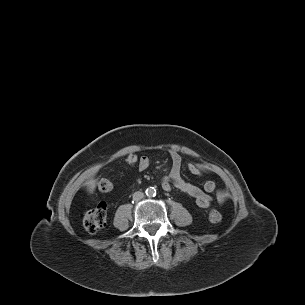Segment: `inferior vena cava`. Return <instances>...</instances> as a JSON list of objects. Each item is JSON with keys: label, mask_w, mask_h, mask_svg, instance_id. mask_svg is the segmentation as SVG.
<instances>
[{"label": "inferior vena cava", "mask_w": 305, "mask_h": 305, "mask_svg": "<svg viewBox=\"0 0 305 305\" xmlns=\"http://www.w3.org/2000/svg\"><path fill=\"white\" fill-rule=\"evenodd\" d=\"M142 198H144V193L137 191L133 194V200L134 201H140Z\"/></svg>", "instance_id": "inferior-vena-cava-1"}]
</instances>
